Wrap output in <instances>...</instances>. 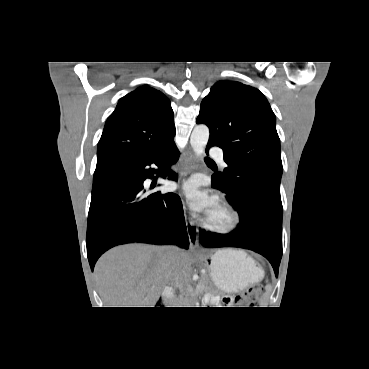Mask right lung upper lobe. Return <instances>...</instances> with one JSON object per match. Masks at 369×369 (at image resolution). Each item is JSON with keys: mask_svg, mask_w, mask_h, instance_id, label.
<instances>
[{"mask_svg": "<svg viewBox=\"0 0 369 369\" xmlns=\"http://www.w3.org/2000/svg\"><path fill=\"white\" fill-rule=\"evenodd\" d=\"M173 110L167 97L148 86L122 97L108 117L97 148V164L117 163L151 152L175 135Z\"/></svg>", "mask_w": 369, "mask_h": 369, "instance_id": "right-lung-upper-lobe-1", "label": "right lung upper lobe"}]
</instances>
